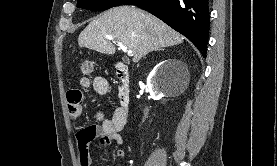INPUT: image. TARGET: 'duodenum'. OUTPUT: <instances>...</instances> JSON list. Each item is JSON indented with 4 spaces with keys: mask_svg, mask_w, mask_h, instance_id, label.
<instances>
[{
    "mask_svg": "<svg viewBox=\"0 0 277 166\" xmlns=\"http://www.w3.org/2000/svg\"><path fill=\"white\" fill-rule=\"evenodd\" d=\"M116 77L120 84L118 112L122 120L127 121L130 106V78L125 64H116Z\"/></svg>",
    "mask_w": 277,
    "mask_h": 166,
    "instance_id": "obj_1",
    "label": "duodenum"
}]
</instances>
